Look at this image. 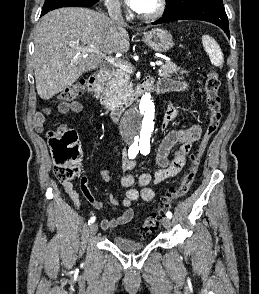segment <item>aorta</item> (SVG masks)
<instances>
[{"mask_svg":"<svg viewBox=\"0 0 259 294\" xmlns=\"http://www.w3.org/2000/svg\"><path fill=\"white\" fill-rule=\"evenodd\" d=\"M155 106L153 97L146 92L140 102L123 117L121 129L132 141H150L154 134Z\"/></svg>","mask_w":259,"mask_h":294,"instance_id":"aorta-1","label":"aorta"}]
</instances>
